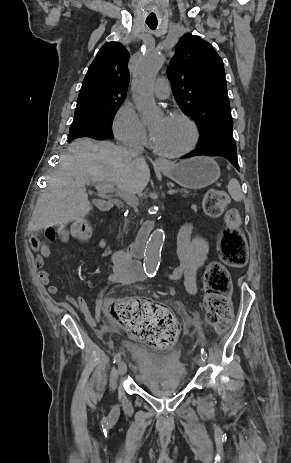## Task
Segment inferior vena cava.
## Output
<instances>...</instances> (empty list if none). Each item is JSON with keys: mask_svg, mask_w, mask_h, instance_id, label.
<instances>
[{"mask_svg": "<svg viewBox=\"0 0 291 463\" xmlns=\"http://www.w3.org/2000/svg\"><path fill=\"white\" fill-rule=\"evenodd\" d=\"M143 147L141 145H129L127 147V152L131 155V156H138L140 155L142 152H143Z\"/></svg>", "mask_w": 291, "mask_h": 463, "instance_id": "obj_1", "label": "inferior vena cava"}]
</instances>
